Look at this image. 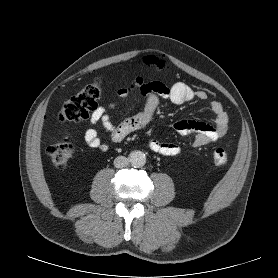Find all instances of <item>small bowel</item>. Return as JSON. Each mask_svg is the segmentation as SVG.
<instances>
[{"mask_svg":"<svg viewBox=\"0 0 278 278\" xmlns=\"http://www.w3.org/2000/svg\"><path fill=\"white\" fill-rule=\"evenodd\" d=\"M134 92L145 100L143 110L118 125L112 123L109 115V112L117 106L118 102L97 106L92 112L89 119L90 127L84 134L85 142L89 147L101 152L108 149V146L101 141L98 135L96 130L98 124H101L110 133L113 142L118 143L130 133L147 126L162 100H168L174 104H184L193 100L208 101V94L205 91L194 90L184 82L167 86L159 81L145 82L140 77H137L129 86L120 88L117 95L120 100H127ZM208 106L215 117L214 125L186 120L173 124V129L177 134L181 136L194 135L193 146L195 147L217 142L228 132L229 116L223 105L216 100H209ZM148 146L153 152L165 156H177L181 153L179 145L157 139H150Z\"/></svg>","mask_w":278,"mask_h":278,"instance_id":"small-bowel-1","label":"small bowel"}]
</instances>
